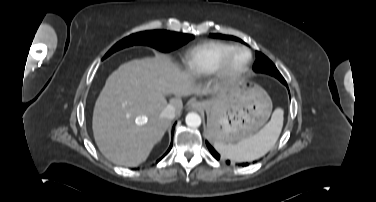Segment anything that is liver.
<instances>
[{
  "label": "liver",
  "instance_id": "liver-1",
  "mask_svg": "<svg viewBox=\"0 0 376 202\" xmlns=\"http://www.w3.org/2000/svg\"><path fill=\"white\" fill-rule=\"evenodd\" d=\"M166 54L135 59L121 65L107 79L93 113L92 128L101 153L111 162L135 167L161 141L171 120L162 118L167 105L182 111V96L206 95ZM167 95L175 98L166 100Z\"/></svg>",
  "mask_w": 376,
  "mask_h": 202
}]
</instances>
